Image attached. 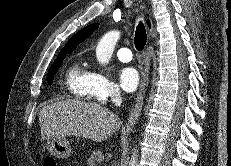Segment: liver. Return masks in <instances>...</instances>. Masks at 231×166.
Masks as SVG:
<instances>
[{
    "label": "liver",
    "mask_w": 231,
    "mask_h": 166,
    "mask_svg": "<svg viewBox=\"0 0 231 166\" xmlns=\"http://www.w3.org/2000/svg\"><path fill=\"white\" fill-rule=\"evenodd\" d=\"M42 140L79 136L96 142L120 128L119 117L92 102L65 100L44 106L39 112Z\"/></svg>",
    "instance_id": "liver-1"
}]
</instances>
